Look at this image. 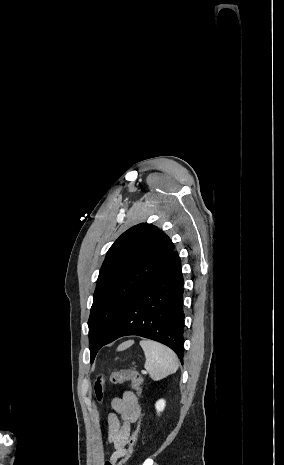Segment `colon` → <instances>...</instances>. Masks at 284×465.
<instances>
[{"instance_id":"colon-1","label":"colon","mask_w":284,"mask_h":465,"mask_svg":"<svg viewBox=\"0 0 284 465\" xmlns=\"http://www.w3.org/2000/svg\"><path fill=\"white\" fill-rule=\"evenodd\" d=\"M108 380L111 383H121L125 381H131L133 388L136 392L141 391V385L143 379L141 375L135 371L134 369H123L119 371H114L110 374L108 378L101 375L97 381L95 393L99 403H103L105 399V388L104 384L105 381ZM139 432V427H137L132 436L129 438L127 442V447L130 449V453L127 454V457H123V462H117L115 465H124V462H130V458H133V454H135V449H132L134 444L138 441L137 435ZM121 460V459H119ZM105 465H114L113 462H105Z\"/></svg>"}]
</instances>
